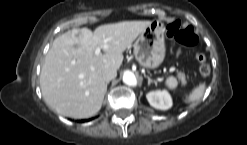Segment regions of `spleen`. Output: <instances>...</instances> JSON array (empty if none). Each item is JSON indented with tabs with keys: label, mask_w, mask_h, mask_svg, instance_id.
Listing matches in <instances>:
<instances>
[{
	"label": "spleen",
	"mask_w": 247,
	"mask_h": 145,
	"mask_svg": "<svg viewBox=\"0 0 247 145\" xmlns=\"http://www.w3.org/2000/svg\"><path fill=\"white\" fill-rule=\"evenodd\" d=\"M165 84L169 89H175L177 87L178 82L175 77L170 76L166 79ZM205 89V83H201L187 97L186 102L191 103L199 100L203 96Z\"/></svg>",
	"instance_id": "obj_1"
}]
</instances>
